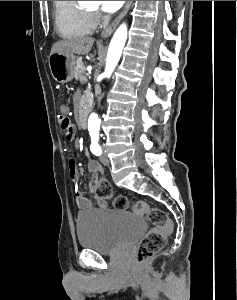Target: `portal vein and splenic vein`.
I'll list each match as a JSON object with an SVG mask.
<instances>
[{
	"label": "portal vein and splenic vein",
	"instance_id": "obj_1",
	"mask_svg": "<svg viewBox=\"0 0 237 300\" xmlns=\"http://www.w3.org/2000/svg\"><path fill=\"white\" fill-rule=\"evenodd\" d=\"M80 79L85 81L87 78L84 76V77H81Z\"/></svg>",
	"mask_w": 237,
	"mask_h": 300
}]
</instances>
